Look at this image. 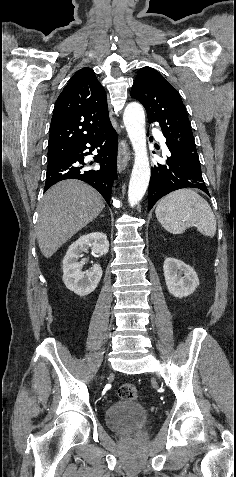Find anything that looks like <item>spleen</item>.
<instances>
[{
    "label": "spleen",
    "instance_id": "obj_1",
    "mask_svg": "<svg viewBox=\"0 0 236 477\" xmlns=\"http://www.w3.org/2000/svg\"><path fill=\"white\" fill-rule=\"evenodd\" d=\"M155 214L171 234H182L192 226L204 236L213 237L216 233V218L210 205L191 189H180L165 196L158 203Z\"/></svg>",
    "mask_w": 236,
    "mask_h": 477
}]
</instances>
